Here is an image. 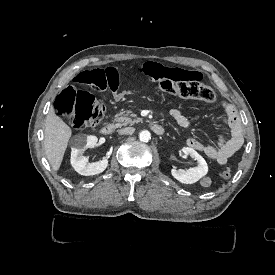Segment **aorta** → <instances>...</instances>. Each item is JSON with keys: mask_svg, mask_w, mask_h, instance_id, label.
Wrapping results in <instances>:
<instances>
[{"mask_svg": "<svg viewBox=\"0 0 275 275\" xmlns=\"http://www.w3.org/2000/svg\"><path fill=\"white\" fill-rule=\"evenodd\" d=\"M139 139L142 142H148L151 139V133L148 130H143L139 133Z\"/></svg>", "mask_w": 275, "mask_h": 275, "instance_id": "aorta-1", "label": "aorta"}]
</instances>
